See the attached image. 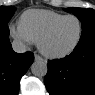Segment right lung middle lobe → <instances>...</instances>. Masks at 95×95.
Returning <instances> with one entry per match:
<instances>
[{
  "mask_svg": "<svg viewBox=\"0 0 95 95\" xmlns=\"http://www.w3.org/2000/svg\"><path fill=\"white\" fill-rule=\"evenodd\" d=\"M15 7L13 6H0V33L9 34L7 23L14 14Z\"/></svg>",
  "mask_w": 95,
  "mask_h": 95,
  "instance_id": "dd1d6c3e",
  "label": "right lung middle lobe"
}]
</instances>
